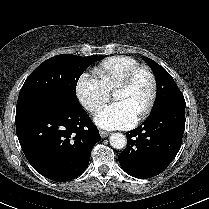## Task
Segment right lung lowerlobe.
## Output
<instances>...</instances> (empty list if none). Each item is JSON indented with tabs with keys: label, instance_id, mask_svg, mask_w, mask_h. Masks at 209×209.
<instances>
[{
	"label": "right lung lower lobe",
	"instance_id": "right-lung-lower-lobe-1",
	"mask_svg": "<svg viewBox=\"0 0 209 209\" xmlns=\"http://www.w3.org/2000/svg\"><path fill=\"white\" fill-rule=\"evenodd\" d=\"M16 132L31 166L57 182L87 167L99 131L79 103L49 98L16 112Z\"/></svg>",
	"mask_w": 209,
	"mask_h": 209
}]
</instances>
